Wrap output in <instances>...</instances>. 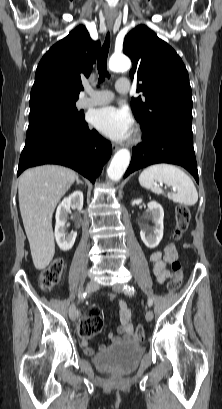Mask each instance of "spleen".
<instances>
[{
    "label": "spleen",
    "instance_id": "3e777b00",
    "mask_svg": "<svg viewBox=\"0 0 222 409\" xmlns=\"http://www.w3.org/2000/svg\"><path fill=\"white\" fill-rule=\"evenodd\" d=\"M156 182H164L176 188L175 192L167 193V197L175 203L193 206L198 201V193L193 181L177 166L164 163L155 164L141 172L140 185L155 194H163L164 191L157 186Z\"/></svg>",
    "mask_w": 222,
    "mask_h": 409
}]
</instances>
